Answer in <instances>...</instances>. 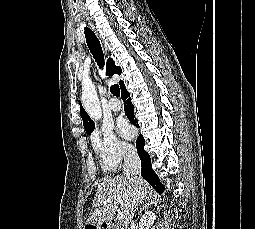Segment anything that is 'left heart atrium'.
Returning a JSON list of instances; mask_svg holds the SVG:
<instances>
[{"label":"left heart atrium","instance_id":"obj_1","mask_svg":"<svg viewBox=\"0 0 255 229\" xmlns=\"http://www.w3.org/2000/svg\"><path fill=\"white\" fill-rule=\"evenodd\" d=\"M117 128L120 135L124 138L130 139L133 136V128L127 121L120 119Z\"/></svg>","mask_w":255,"mask_h":229}]
</instances>
